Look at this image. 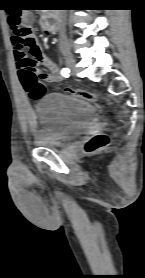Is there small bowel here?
I'll return each instance as SVG.
<instances>
[{"label":"small bowel","instance_id":"obj_1","mask_svg":"<svg viewBox=\"0 0 145 278\" xmlns=\"http://www.w3.org/2000/svg\"><path fill=\"white\" fill-rule=\"evenodd\" d=\"M21 20L24 24L31 25L33 14L28 10L23 11ZM12 44L18 80L24 93L31 99H38L44 93V82L56 81L59 77L58 72L55 66L45 57L38 40L33 35H31L26 46L16 36H13ZM41 64L47 67L46 71L39 68ZM29 124L32 128L35 127L36 121L34 115L30 116Z\"/></svg>","mask_w":145,"mask_h":278}]
</instances>
